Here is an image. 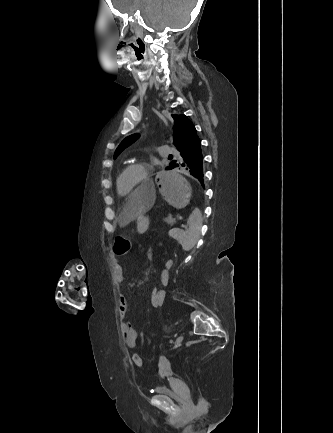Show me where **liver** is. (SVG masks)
<instances>
[{
	"label": "liver",
	"mask_w": 333,
	"mask_h": 433,
	"mask_svg": "<svg viewBox=\"0 0 333 433\" xmlns=\"http://www.w3.org/2000/svg\"><path fill=\"white\" fill-rule=\"evenodd\" d=\"M154 183H139V192H129V201H119V226L125 227L131 221L138 220L140 215H147L151 208L150 201H156L157 195Z\"/></svg>",
	"instance_id": "liver-1"
}]
</instances>
